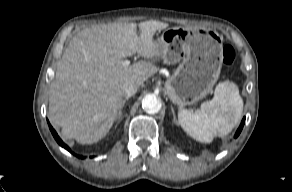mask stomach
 <instances>
[{
    "label": "stomach",
    "mask_w": 292,
    "mask_h": 192,
    "mask_svg": "<svg viewBox=\"0 0 292 192\" xmlns=\"http://www.w3.org/2000/svg\"><path fill=\"white\" fill-rule=\"evenodd\" d=\"M155 45L165 63H180L165 83L174 104H194L212 91L223 54L222 38L216 31L172 27L162 33Z\"/></svg>",
    "instance_id": "0dacf381"
}]
</instances>
